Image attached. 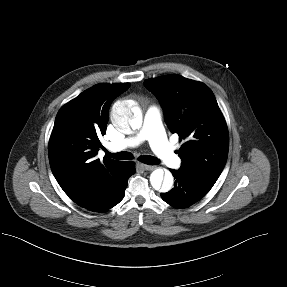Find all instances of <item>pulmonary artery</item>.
I'll return each mask as SVG.
<instances>
[{
    "label": "pulmonary artery",
    "instance_id": "obj_1",
    "mask_svg": "<svg viewBox=\"0 0 287 287\" xmlns=\"http://www.w3.org/2000/svg\"><path fill=\"white\" fill-rule=\"evenodd\" d=\"M147 140L154 153L171 168L179 167L181 160L168 142L161 123V114L156 106L148 108L141 130L134 136L112 142L108 145L111 151L117 152L135 147Z\"/></svg>",
    "mask_w": 287,
    "mask_h": 287
}]
</instances>
